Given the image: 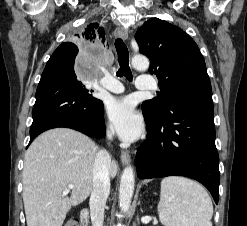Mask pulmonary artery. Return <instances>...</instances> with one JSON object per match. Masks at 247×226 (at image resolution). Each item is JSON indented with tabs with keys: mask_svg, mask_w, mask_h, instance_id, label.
<instances>
[{
	"mask_svg": "<svg viewBox=\"0 0 247 226\" xmlns=\"http://www.w3.org/2000/svg\"><path fill=\"white\" fill-rule=\"evenodd\" d=\"M102 86L112 93L124 92L123 84L112 76H106L102 81ZM136 88L139 90H152L155 88V83L150 76L142 75L137 78Z\"/></svg>",
	"mask_w": 247,
	"mask_h": 226,
	"instance_id": "1",
	"label": "pulmonary artery"
}]
</instances>
